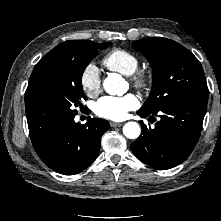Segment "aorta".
Here are the masks:
<instances>
[{
	"mask_svg": "<svg viewBox=\"0 0 221 221\" xmlns=\"http://www.w3.org/2000/svg\"><path fill=\"white\" fill-rule=\"evenodd\" d=\"M103 87L110 95H120L127 90L126 83L116 73H111L107 76L103 82ZM123 134L129 139H136L141 134V128L137 122L130 121L123 126Z\"/></svg>",
	"mask_w": 221,
	"mask_h": 221,
	"instance_id": "762f6f07",
	"label": "aorta"
}]
</instances>
